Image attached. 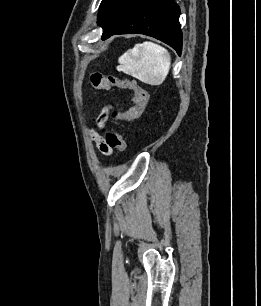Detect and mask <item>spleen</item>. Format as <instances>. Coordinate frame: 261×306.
Segmentation results:
<instances>
[{
  "label": "spleen",
  "mask_w": 261,
  "mask_h": 306,
  "mask_svg": "<svg viewBox=\"0 0 261 306\" xmlns=\"http://www.w3.org/2000/svg\"><path fill=\"white\" fill-rule=\"evenodd\" d=\"M117 69L146 84L160 85L166 79L170 66V53L152 42L136 44L119 59Z\"/></svg>",
  "instance_id": "spleen-1"
}]
</instances>
